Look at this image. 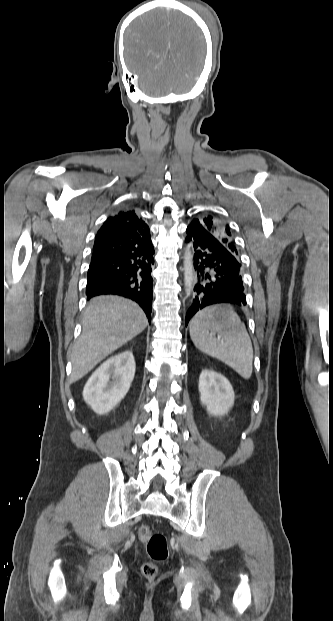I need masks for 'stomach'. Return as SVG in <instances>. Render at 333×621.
Masks as SVG:
<instances>
[{
  "label": "stomach",
  "mask_w": 333,
  "mask_h": 621,
  "mask_svg": "<svg viewBox=\"0 0 333 621\" xmlns=\"http://www.w3.org/2000/svg\"><path fill=\"white\" fill-rule=\"evenodd\" d=\"M213 320L221 323L237 316V314L228 306L217 305L214 306Z\"/></svg>",
  "instance_id": "obj_1"
}]
</instances>
